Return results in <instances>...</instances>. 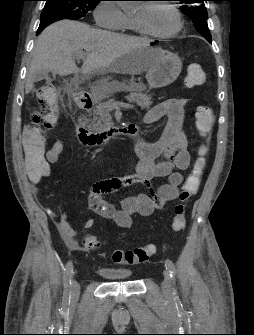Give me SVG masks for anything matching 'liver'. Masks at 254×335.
<instances>
[{"instance_id": "6515ba94", "label": "liver", "mask_w": 254, "mask_h": 335, "mask_svg": "<svg viewBox=\"0 0 254 335\" xmlns=\"http://www.w3.org/2000/svg\"><path fill=\"white\" fill-rule=\"evenodd\" d=\"M148 44L146 39L95 29L78 21H58L36 41L26 92L33 89L37 74L49 71L60 76L81 73L86 78L107 73L139 75L153 65ZM77 53L85 54L81 69L74 61ZM109 79L102 78L101 83L114 87L116 83H109Z\"/></svg>"}]
</instances>
